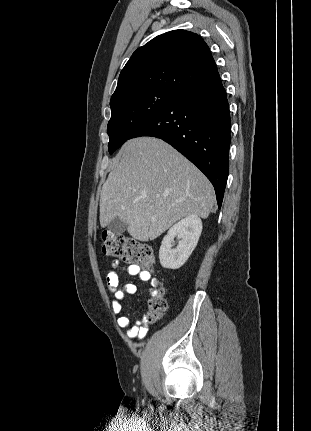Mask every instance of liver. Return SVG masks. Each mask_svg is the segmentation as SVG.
Returning <instances> with one entry per match:
<instances>
[{
  "mask_svg": "<svg viewBox=\"0 0 311 431\" xmlns=\"http://www.w3.org/2000/svg\"><path fill=\"white\" fill-rule=\"evenodd\" d=\"M120 154L102 186L101 227L119 217L133 239L149 241L181 217L209 216L215 204L212 184L172 146L157 138H134Z\"/></svg>",
  "mask_w": 311,
  "mask_h": 431,
  "instance_id": "6515ba94",
  "label": "liver"
}]
</instances>
